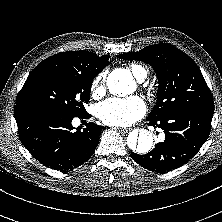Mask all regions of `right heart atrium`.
Returning a JSON list of instances; mask_svg holds the SVG:
<instances>
[{
	"label": "right heart atrium",
	"instance_id": "d8ad5b80",
	"mask_svg": "<svg viewBox=\"0 0 222 222\" xmlns=\"http://www.w3.org/2000/svg\"><path fill=\"white\" fill-rule=\"evenodd\" d=\"M104 82L105 76L104 74L98 75L92 82V93L93 95H101L104 92Z\"/></svg>",
	"mask_w": 222,
	"mask_h": 222
}]
</instances>
